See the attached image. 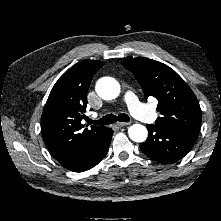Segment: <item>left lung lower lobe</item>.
Returning <instances> with one entry per match:
<instances>
[{
    "instance_id": "left-lung-lower-lobe-1",
    "label": "left lung lower lobe",
    "mask_w": 221,
    "mask_h": 221,
    "mask_svg": "<svg viewBox=\"0 0 221 221\" xmlns=\"http://www.w3.org/2000/svg\"><path fill=\"white\" fill-rule=\"evenodd\" d=\"M148 138L140 144L141 151L149 158L164 164L184 157L197 140L198 132L187 129H171L148 124Z\"/></svg>"
}]
</instances>
